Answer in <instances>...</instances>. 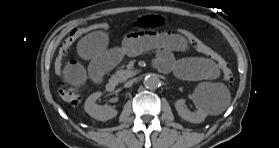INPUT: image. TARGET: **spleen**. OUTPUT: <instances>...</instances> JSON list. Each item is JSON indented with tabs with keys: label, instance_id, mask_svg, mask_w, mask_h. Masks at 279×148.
<instances>
[{
	"label": "spleen",
	"instance_id": "obj_1",
	"mask_svg": "<svg viewBox=\"0 0 279 148\" xmlns=\"http://www.w3.org/2000/svg\"><path fill=\"white\" fill-rule=\"evenodd\" d=\"M196 91L211 114L219 115L230 105V93L222 83H202Z\"/></svg>",
	"mask_w": 279,
	"mask_h": 148
}]
</instances>
